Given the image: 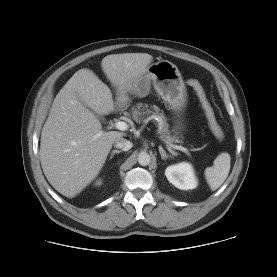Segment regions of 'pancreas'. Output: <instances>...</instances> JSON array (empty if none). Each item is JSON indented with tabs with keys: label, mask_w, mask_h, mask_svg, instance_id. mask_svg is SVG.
Returning <instances> with one entry per match:
<instances>
[{
	"label": "pancreas",
	"mask_w": 277,
	"mask_h": 277,
	"mask_svg": "<svg viewBox=\"0 0 277 277\" xmlns=\"http://www.w3.org/2000/svg\"><path fill=\"white\" fill-rule=\"evenodd\" d=\"M131 115L136 123H147L149 120H156L158 132L161 139L167 144L182 142L176 135H171L169 124L164 112L156 105L138 103L136 107L131 108Z\"/></svg>",
	"instance_id": "cf45deb5"
}]
</instances>
